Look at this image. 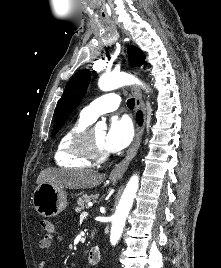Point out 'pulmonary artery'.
<instances>
[{
  "label": "pulmonary artery",
  "mask_w": 221,
  "mask_h": 268,
  "mask_svg": "<svg viewBox=\"0 0 221 268\" xmlns=\"http://www.w3.org/2000/svg\"><path fill=\"white\" fill-rule=\"evenodd\" d=\"M120 101L121 98L116 93L105 94L84 107L81 115L94 122L101 114L116 110L120 105Z\"/></svg>",
  "instance_id": "e3ab8cb5"
}]
</instances>
